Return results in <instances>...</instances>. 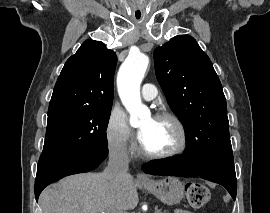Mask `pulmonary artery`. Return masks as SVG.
Wrapping results in <instances>:
<instances>
[{"label":"pulmonary artery","mask_w":270,"mask_h":213,"mask_svg":"<svg viewBox=\"0 0 270 213\" xmlns=\"http://www.w3.org/2000/svg\"><path fill=\"white\" fill-rule=\"evenodd\" d=\"M157 95L156 87L151 83H146L143 85L142 88V97L147 100L151 101L154 100Z\"/></svg>","instance_id":"pulmonary-artery-1"}]
</instances>
